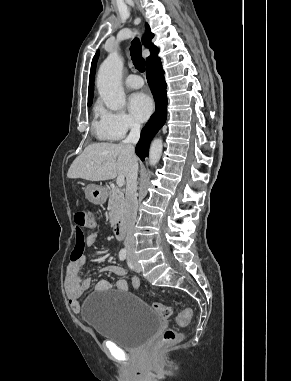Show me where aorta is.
<instances>
[{"mask_svg":"<svg viewBox=\"0 0 291 381\" xmlns=\"http://www.w3.org/2000/svg\"><path fill=\"white\" fill-rule=\"evenodd\" d=\"M123 61L113 52L101 64L97 76V88L104 104L113 111L121 110L125 105V93L121 85ZM163 143L154 139L149 149V163L155 166L161 157Z\"/></svg>","mask_w":291,"mask_h":381,"instance_id":"aorta-1","label":"aorta"}]
</instances>
